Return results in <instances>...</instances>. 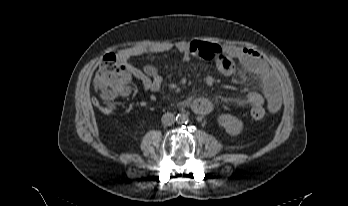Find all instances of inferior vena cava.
<instances>
[{
	"mask_svg": "<svg viewBox=\"0 0 348 206\" xmlns=\"http://www.w3.org/2000/svg\"><path fill=\"white\" fill-rule=\"evenodd\" d=\"M174 115L172 113H165L163 116H162V123L164 125H172L174 123Z\"/></svg>",
	"mask_w": 348,
	"mask_h": 206,
	"instance_id": "602c4592",
	"label": "inferior vena cava"
}]
</instances>
